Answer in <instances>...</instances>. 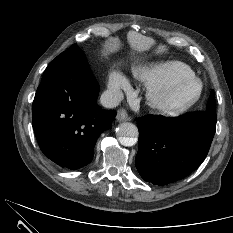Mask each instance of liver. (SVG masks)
<instances>
[{"instance_id":"6515ba94","label":"liver","mask_w":233,"mask_h":233,"mask_svg":"<svg viewBox=\"0 0 233 233\" xmlns=\"http://www.w3.org/2000/svg\"><path fill=\"white\" fill-rule=\"evenodd\" d=\"M131 47L135 50H144L150 44V40L142 35L131 33L128 36Z\"/></svg>"}]
</instances>
